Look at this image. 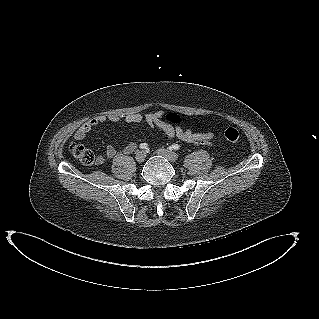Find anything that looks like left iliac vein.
Returning a JSON list of instances; mask_svg holds the SVG:
<instances>
[{
	"mask_svg": "<svg viewBox=\"0 0 319 319\" xmlns=\"http://www.w3.org/2000/svg\"><path fill=\"white\" fill-rule=\"evenodd\" d=\"M157 154L165 157L166 159H168L169 161L171 162H175L178 160V154L173 152V151H170L168 149H165V148H159L157 151H156Z\"/></svg>",
	"mask_w": 319,
	"mask_h": 319,
	"instance_id": "obj_1",
	"label": "left iliac vein"
}]
</instances>
